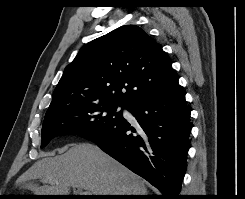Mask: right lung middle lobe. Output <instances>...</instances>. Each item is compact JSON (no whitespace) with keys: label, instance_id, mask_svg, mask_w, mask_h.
<instances>
[{"label":"right lung middle lobe","instance_id":"dd1d6c3e","mask_svg":"<svg viewBox=\"0 0 245 199\" xmlns=\"http://www.w3.org/2000/svg\"><path fill=\"white\" fill-rule=\"evenodd\" d=\"M118 106L122 105L115 103L78 104L45 116L41 148L45 147L54 137L61 135L75 134L86 139L93 138L123 118L122 111L117 112Z\"/></svg>","mask_w":245,"mask_h":199}]
</instances>
